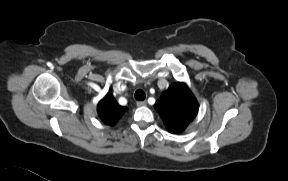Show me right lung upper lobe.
Listing matches in <instances>:
<instances>
[{"label":"right lung upper lobe","mask_w":288,"mask_h":181,"mask_svg":"<svg viewBox=\"0 0 288 181\" xmlns=\"http://www.w3.org/2000/svg\"><path fill=\"white\" fill-rule=\"evenodd\" d=\"M126 109V107L118 105L114 97L111 95H106L98 103L97 107L99 117L107 125H114L123 115Z\"/></svg>","instance_id":"obj_1"}]
</instances>
